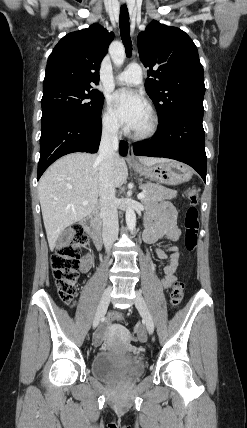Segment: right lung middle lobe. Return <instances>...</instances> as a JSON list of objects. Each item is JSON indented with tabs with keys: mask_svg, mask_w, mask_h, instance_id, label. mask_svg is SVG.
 I'll return each mask as SVG.
<instances>
[{
	"mask_svg": "<svg viewBox=\"0 0 247 428\" xmlns=\"http://www.w3.org/2000/svg\"><path fill=\"white\" fill-rule=\"evenodd\" d=\"M104 96L89 86H64L43 92L42 119L64 115L92 121L101 117Z\"/></svg>",
	"mask_w": 247,
	"mask_h": 428,
	"instance_id": "1",
	"label": "right lung middle lobe"
}]
</instances>
